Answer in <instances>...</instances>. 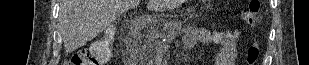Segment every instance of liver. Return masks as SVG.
Here are the masks:
<instances>
[{"label":"liver","mask_w":309,"mask_h":65,"mask_svg":"<svg viewBox=\"0 0 309 65\" xmlns=\"http://www.w3.org/2000/svg\"><path fill=\"white\" fill-rule=\"evenodd\" d=\"M183 0H148L147 9L165 11ZM140 0H61L59 29L67 53L94 39L118 16L137 7Z\"/></svg>","instance_id":"obj_1"}]
</instances>
